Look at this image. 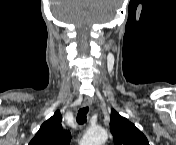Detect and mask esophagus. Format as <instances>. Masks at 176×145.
Returning a JSON list of instances; mask_svg holds the SVG:
<instances>
[{
	"label": "esophagus",
	"instance_id": "34e87169",
	"mask_svg": "<svg viewBox=\"0 0 176 145\" xmlns=\"http://www.w3.org/2000/svg\"><path fill=\"white\" fill-rule=\"evenodd\" d=\"M92 103V100L89 97L84 98L83 100V106H90Z\"/></svg>",
	"mask_w": 176,
	"mask_h": 145
}]
</instances>
